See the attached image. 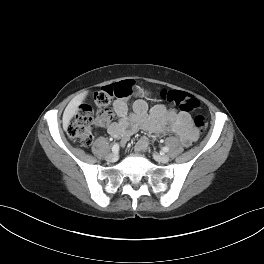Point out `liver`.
Wrapping results in <instances>:
<instances>
[{"label": "liver", "mask_w": 264, "mask_h": 264, "mask_svg": "<svg viewBox=\"0 0 264 264\" xmlns=\"http://www.w3.org/2000/svg\"><path fill=\"white\" fill-rule=\"evenodd\" d=\"M88 92L84 91L83 93L75 96L67 105L63 113V128L66 130L70 120L78 113L79 106L83 103Z\"/></svg>", "instance_id": "liver-1"}]
</instances>
